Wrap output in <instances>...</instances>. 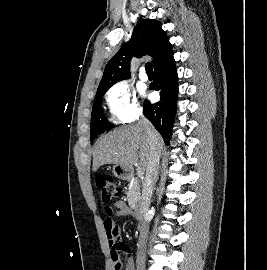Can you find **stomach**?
Returning a JSON list of instances; mask_svg holds the SVG:
<instances>
[{"mask_svg":"<svg viewBox=\"0 0 267 270\" xmlns=\"http://www.w3.org/2000/svg\"><path fill=\"white\" fill-rule=\"evenodd\" d=\"M113 174L115 177L125 180L130 177V169L116 164L113 166Z\"/></svg>","mask_w":267,"mask_h":270,"instance_id":"stomach-1","label":"stomach"}]
</instances>
